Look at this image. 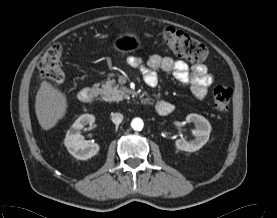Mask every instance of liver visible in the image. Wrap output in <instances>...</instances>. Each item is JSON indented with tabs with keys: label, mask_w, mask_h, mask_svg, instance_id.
<instances>
[{
	"label": "liver",
	"mask_w": 277,
	"mask_h": 218,
	"mask_svg": "<svg viewBox=\"0 0 277 218\" xmlns=\"http://www.w3.org/2000/svg\"><path fill=\"white\" fill-rule=\"evenodd\" d=\"M67 106L61 91L47 81L41 83L36 95L35 113L44 130L53 128L65 116Z\"/></svg>",
	"instance_id": "obj_1"
}]
</instances>
